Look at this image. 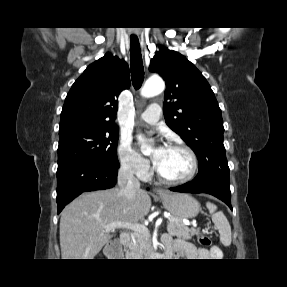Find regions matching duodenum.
I'll return each mask as SVG.
<instances>
[{
  "label": "duodenum",
  "instance_id": "duodenum-1",
  "mask_svg": "<svg viewBox=\"0 0 287 287\" xmlns=\"http://www.w3.org/2000/svg\"><path fill=\"white\" fill-rule=\"evenodd\" d=\"M120 242H121V244L123 245V247H125V248L129 247L130 242H131V236H130L129 232H127V231L121 232V234H120ZM105 252H106L108 255H112V254H113V253H112V248H111L110 246H107V247L105 248ZM166 255H167L168 257H171L170 254H169V252H168V250H167V252H166Z\"/></svg>",
  "mask_w": 287,
  "mask_h": 287
}]
</instances>
